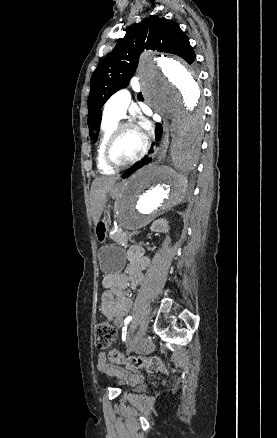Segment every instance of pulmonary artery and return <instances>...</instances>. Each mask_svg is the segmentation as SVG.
<instances>
[{
  "instance_id": "obj_1",
  "label": "pulmonary artery",
  "mask_w": 277,
  "mask_h": 438,
  "mask_svg": "<svg viewBox=\"0 0 277 438\" xmlns=\"http://www.w3.org/2000/svg\"><path fill=\"white\" fill-rule=\"evenodd\" d=\"M133 83L128 85L130 90H140L141 82L136 76H131ZM114 95L108 97V103L104 106L103 117L111 120L123 119L130 104L132 94L126 87H115Z\"/></svg>"
}]
</instances>
